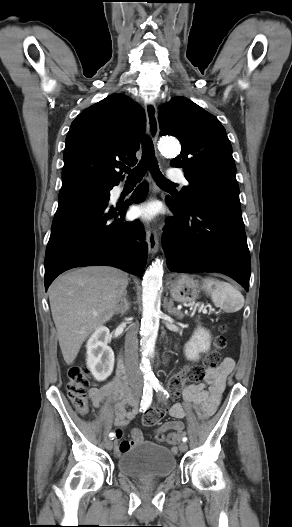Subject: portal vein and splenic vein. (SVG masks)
<instances>
[{"mask_svg": "<svg viewBox=\"0 0 292 527\" xmlns=\"http://www.w3.org/2000/svg\"><path fill=\"white\" fill-rule=\"evenodd\" d=\"M202 312L203 313H207V310L204 308V309H202Z\"/></svg>", "mask_w": 292, "mask_h": 527, "instance_id": "portal-vein-and-splenic-vein-1", "label": "portal vein and splenic vein"}]
</instances>
